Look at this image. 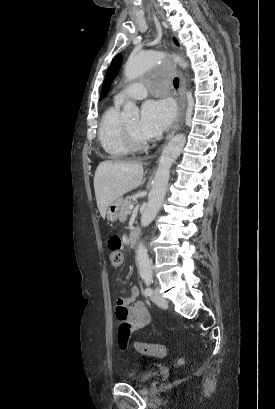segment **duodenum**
I'll return each instance as SVG.
<instances>
[{"label":"duodenum","instance_id":"obj_1","mask_svg":"<svg viewBox=\"0 0 275 409\" xmlns=\"http://www.w3.org/2000/svg\"><path fill=\"white\" fill-rule=\"evenodd\" d=\"M139 238V230L137 228H133L130 231L128 243L131 248H134L137 245V241Z\"/></svg>","mask_w":275,"mask_h":409}]
</instances>
